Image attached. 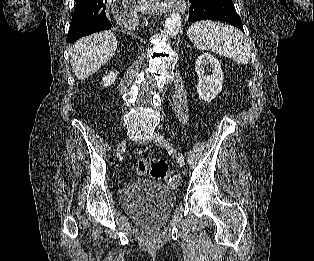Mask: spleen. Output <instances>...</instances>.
<instances>
[{
	"mask_svg": "<svg viewBox=\"0 0 314 261\" xmlns=\"http://www.w3.org/2000/svg\"><path fill=\"white\" fill-rule=\"evenodd\" d=\"M187 35L199 50H210L221 56L246 65L250 61L251 50L244 35L236 28L214 21L193 23Z\"/></svg>",
	"mask_w": 314,
	"mask_h": 261,
	"instance_id": "obj_1",
	"label": "spleen"
}]
</instances>
